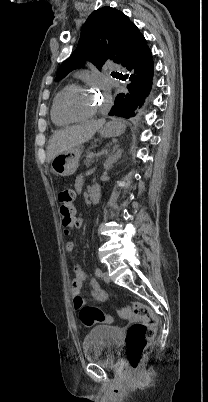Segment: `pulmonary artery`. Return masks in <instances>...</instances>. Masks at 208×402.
Here are the masks:
<instances>
[{"instance_id":"obj_1","label":"pulmonary artery","mask_w":208,"mask_h":402,"mask_svg":"<svg viewBox=\"0 0 208 402\" xmlns=\"http://www.w3.org/2000/svg\"><path fill=\"white\" fill-rule=\"evenodd\" d=\"M106 65H107V69L109 71H113L115 74H118L120 72V69L117 64H115V63L111 64L110 61H107Z\"/></svg>"}]
</instances>
